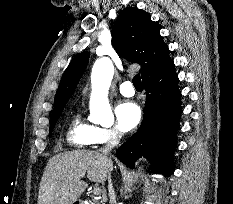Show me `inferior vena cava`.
<instances>
[{
  "instance_id": "1",
  "label": "inferior vena cava",
  "mask_w": 233,
  "mask_h": 204,
  "mask_svg": "<svg viewBox=\"0 0 233 204\" xmlns=\"http://www.w3.org/2000/svg\"><path fill=\"white\" fill-rule=\"evenodd\" d=\"M120 138H121V133L115 132L112 138L107 143V145L99 150L101 154L107 157L110 151L119 144ZM108 189L110 196V204H116L115 193H114L110 173L108 174Z\"/></svg>"
}]
</instances>
